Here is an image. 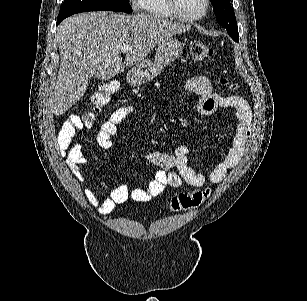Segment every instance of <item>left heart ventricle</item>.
Listing matches in <instances>:
<instances>
[{"instance_id": "obj_1", "label": "left heart ventricle", "mask_w": 307, "mask_h": 301, "mask_svg": "<svg viewBox=\"0 0 307 301\" xmlns=\"http://www.w3.org/2000/svg\"><path fill=\"white\" fill-rule=\"evenodd\" d=\"M178 8L174 9V13H192L201 10L202 0H180L176 1Z\"/></svg>"}]
</instances>
